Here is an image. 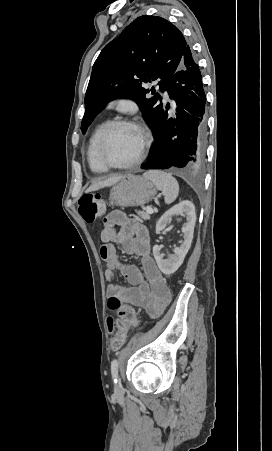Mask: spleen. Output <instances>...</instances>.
Wrapping results in <instances>:
<instances>
[{
  "label": "spleen",
  "instance_id": "3e777b00",
  "mask_svg": "<svg viewBox=\"0 0 272 451\" xmlns=\"http://www.w3.org/2000/svg\"><path fill=\"white\" fill-rule=\"evenodd\" d=\"M146 180H151L157 190H161L163 196H165V204H172L176 200L179 194V184L172 174H166V172H160V170H150L143 174Z\"/></svg>",
  "mask_w": 272,
  "mask_h": 451
}]
</instances>
